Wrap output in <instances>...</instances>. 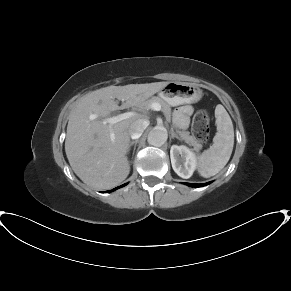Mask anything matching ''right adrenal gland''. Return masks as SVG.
Segmentation results:
<instances>
[{"mask_svg":"<svg viewBox=\"0 0 291 291\" xmlns=\"http://www.w3.org/2000/svg\"><path fill=\"white\" fill-rule=\"evenodd\" d=\"M137 143H138V140L130 142L129 149L134 145L133 155L135 153Z\"/></svg>","mask_w":291,"mask_h":291,"instance_id":"obj_1","label":"right adrenal gland"}]
</instances>
